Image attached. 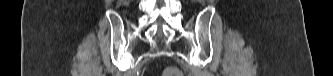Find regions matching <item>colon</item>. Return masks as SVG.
Segmentation results:
<instances>
[{
	"label": "colon",
	"mask_w": 333,
	"mask_h": 76,
	"mask_svg": "<svg viewBox=\"0 0 333 76\" xmlns=\"http://www.w3.org/2000/svg\"><path fill=\"white\" fill-rule=\"evenodd\" d=\"M164 76H182V72L176 67H169L163 73Z\"/></svg>",
	"instance_id": "obj_1"
}]
</instances>
